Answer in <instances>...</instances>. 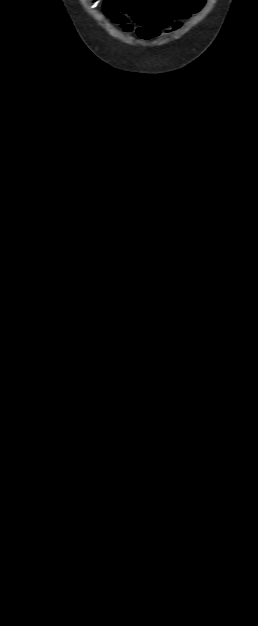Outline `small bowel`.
<instances>
[{
  "mask_svg": "<svg viewBox=\"0 0 258 626\" xmlns=\"http://www.w3.org/2000/svg\"><path fill=\"white\" fill-rule=\"evenodd\" d=\"M205 3V0H180L175 6H170L166 11L159 13L153 17L157 23L153 25L137 23L138 27L135 32L137 36L144 40L155 39L170 29H178L181 26V20L187 19L194 12H197ZM104 9L106 14L125 31H131L132 25L129 24V14L125 9L116 7L114 0H106Z\"/></svg>",
  "mask_w": 258,
  "mask_h": 626,
  "instance_id": "obj_1",
  "label": "small bowel"
}]
</instances>
